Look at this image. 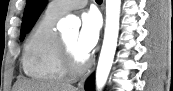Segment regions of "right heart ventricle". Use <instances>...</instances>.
I'll return each mask as SVG.
<instances>
[{"label":"right heart ventricle","mask_w":173,"mask_h":91,"mask_svg":"<svg viewBox=\"0 0 173 91\" xmlns=\"http://www.w3.org/2000/svg\"><path fill=\"white\" fill-rule=\"evenodd\" d=\"M60 16L47 10L27 38L22 66L32 79L55 83L68 77L60 59V34L55 28Z\"/></svg>","instance_id":"obj_1"}]
</instances>
